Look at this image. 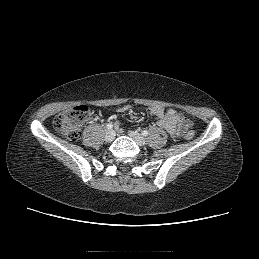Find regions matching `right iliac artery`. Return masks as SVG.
<instances>
[{
    "mask_svg": "<svg viewBox=\"0 0 259 259\" xmlns=\"http://www.w3.org/2000/svg\"><path fill=\"white\" fill-rule=\"evenodd\" d=\"M106 128H107L108 130H111V129L113 128V124H112V123H108L107 126H106Z\"/></svg>",
    "mask_w": 259,
    "mask_h": 259,
    "instance_id": "82829eb1",
    "label": "right iliac artery"
}]
</instances>
